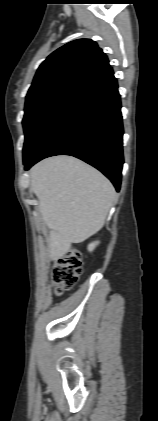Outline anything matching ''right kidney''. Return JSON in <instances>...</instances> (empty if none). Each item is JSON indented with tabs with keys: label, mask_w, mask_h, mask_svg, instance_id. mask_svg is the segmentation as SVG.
<instances>
[{
	"label": "right kidney",
	"mask_w": 158,
	"mask_h": 421,
	"mask_svg": "<svg viewBox=\"0 0 158 421\" xmlns=\"http://www.w3.org/2000/svg\"><path fill=\"white\" fill-rule=\"evenodd\" d=\"M99 244V242L98 241H95V242H93V243H91V244H89L88 245V250L91 252V251H93L94 249H95V247L97 246Z\"/></svg>",
	"instance_id": "right-kidney-1"
}]
</instances>
